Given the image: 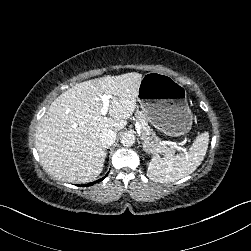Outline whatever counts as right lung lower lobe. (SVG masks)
Returning <instances> with one entry per match:
<instances>
[{"mask_svg":"<svg viewBox=\"0 0 251 251\" xmlns=\"http://www.w3.org/2000/svg\"><path fill=\"white\" fill-rule=\"evenodd\" d=\"M106 176H107V175H105L102 179H99V180H97V181H95V182H91V183H89V184H85L84 186H91V185H94L95 183H98V182L102 181Z\"/></svg>","mask_w":251,"mask_h":251,"instance_id":"1","label":"right lung lower lobe"}]
</instances>
